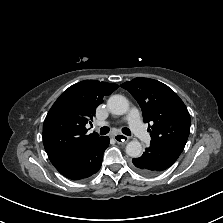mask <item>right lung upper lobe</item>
Returning a JSON list of instances; mask_svg holds the SVG:
<instances>
[{
  "label": "right lung upper lobe",
  "mask_w": 223,
  "mask_h": 223,
  "mask_svg": "<svg viewBox=\"0 0 223 223\" xmlns=\"http://www.w3.org/2000/svg\"><path fill=\"white\" fill-rule=\"evenodd\" d=\"M118 88L116 84L84 80L66 89L49 110L43 126V143L53 165L88 149L101 137L87 134L95 109L103 97Z\"/></svg>",
  "instance_id": "obj_1"
}]
</instances>
